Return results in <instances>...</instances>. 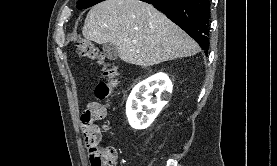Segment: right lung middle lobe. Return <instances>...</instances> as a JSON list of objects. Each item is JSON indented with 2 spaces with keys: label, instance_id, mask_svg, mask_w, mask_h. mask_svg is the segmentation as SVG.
<instances>
[{
  "label": "right lung middle lobe",
  "instance_id": "right-lung-middle-lobe-1",
  "mask_svg": "<svg viewBox=\"0 0 277 166\" xmlns=\"http://www.w3.org/2000/svg\"><path fill=\"white\" fill-rule=\"evenodd\" d=\"M104 0H78L77 8L78 9H86L89 8L97 3H100Z\"/></svg>",
  "mask_w": 277,
  "mask_h": 166
}]
</instances>
